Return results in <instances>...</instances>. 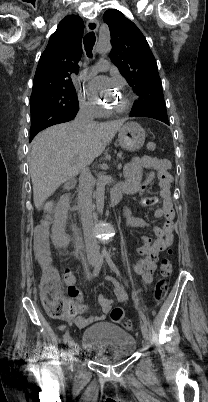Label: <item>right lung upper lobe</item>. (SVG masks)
Segmentation results:
<instances>
[{"label": "right lung upper lobe", "instance_id": "right-lung-upper-lobe-1", "mask_svg": "<svg viewBox=\"0 0 208 402\" xmlns=\"http://www.w3.org/2000/svg\"><path fill=\"white\" fill-rule=\"evenodd\" d=\"M83 30V20L77 15L66 16L60 21L39 59L32 93L44 86L72 80L71 74L78 73Z\"/></svg>", "mask_w": 208, "mask_h": 402}]
</instances>
